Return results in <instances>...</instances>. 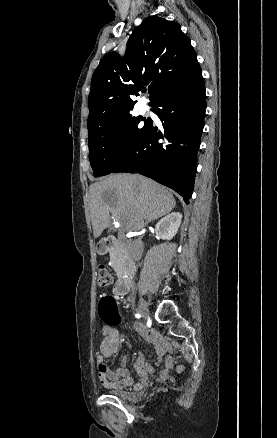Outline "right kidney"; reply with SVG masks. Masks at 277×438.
<instances>
[{"label":"right kidney","instance_id":"ca27d5eb","mask_svg":"<svg viewBox=\"0 0 277 438\" xmlns=\"http://www.w3.org/2000/svg\"><path fill=\"white\" fill-rule=\"evenodd\" d=\"M182 214L180 212H172L165 218H162L155 226V234L161 240H172L180 228Z\"/></svg>","mask_w":277,"mask_h":438}]
</instances>
